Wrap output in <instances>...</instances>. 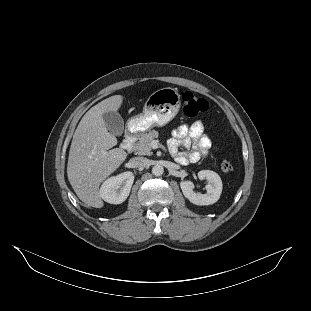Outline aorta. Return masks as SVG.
Masks as SVG:
<instances>
[{"instance_id": "762f6f07", "label": "aorta", "mask_w": 311, "mask_h": 311, "mask_svg": "<svg viewBox=\"0 0 311 311\" xmlns=\"http://www.w3.org/2000/svg\"><path fill=\"white\" fill-rule=\"evenodd\" d=\"M152 173H153V175H155V176H160V175H162V174L164 173V168H163V166H162V165H154V166L152 167Z\"/></svg>"}]
</instances>
